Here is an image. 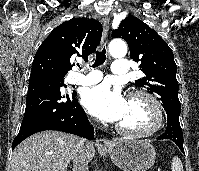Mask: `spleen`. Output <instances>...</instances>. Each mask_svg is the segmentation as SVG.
Instances as JSON below:
<instances>
[{"mask_svg":"<svg viewBox=\"0 0 199 171\" xmlns=\"http://www.w3.org/2000/svg\"><path fill=\"white\" fill-rule=\"evenodd\" d=\"M172 171H184L181 160L178 157H173L171 163Z\"/></svg>","mask_w":199,"mask_h":171,"instance_id":"1","label":"spleen"}]
</instances>
